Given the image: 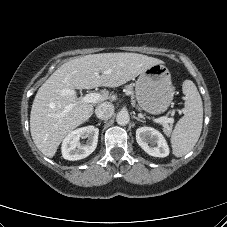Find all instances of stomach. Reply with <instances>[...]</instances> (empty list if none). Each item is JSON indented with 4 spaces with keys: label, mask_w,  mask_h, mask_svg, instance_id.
Masks as SVG:
<instances>
[{
    "label": "stomach",
    "mask_w": 227,
    "mask_h": 227,
    "mask_svg": "<svg viewBox=\"0 0 227 227\" xmlns=\"http://www.w3.org/2000/svg\"><path fill=\"white\" fill-rule=\"evenodd\" d=\"M135 97L144 111L154 115L164 113L174 97L168 68L155 64L142 72L136 81Z\"/></svg>",
    "instance_id": "1"
}]
</instances>
